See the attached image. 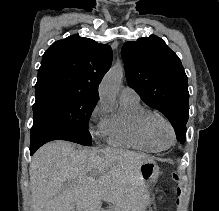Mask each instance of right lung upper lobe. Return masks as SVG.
<instances>
[{
	"mask_svg": "<svg viewBox=\"0 0 219 211\" xmlns=\"http://www.w3.org/2000/svg\"><path fill=\"white\" fill-rule=\"evenodd\" d=\"M112 58L107 44L77 34L58 40L42 57L35 94L64 91L98 100V86Z\"/></svg>",
	"mask_w": 219,
	"mask_h": 211,
	"instance_id": "cb5924a9",
	"label": "right lung upper lobe"
}]
</instances>
